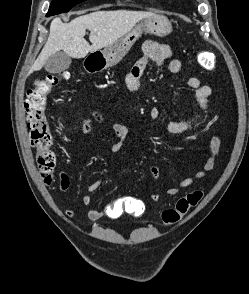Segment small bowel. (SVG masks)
Listing matches in <instances>:
<instances>
[{
  "mask_svg": "<svg viewBox=\"0 0 249 294\" xmlns=\"http://www.w3.org/2000/svg\"><path fill=\"white\" fill-rule=\"evenodd\" d=\"M143 56L134 64L130 72L127 75V83L130 89L138 90L140 88V78L147 67L154 63L158 66L162 65L167 59L173 57L174 53L170 46L166 44H159L154 41H146L142 45ZM169 70L173 74L183 73V64L178 59H172L169 63ZM188 86L194 90L195 99L197 103V112L190 118L184 120H167L165 122V128L172 134H184L191 130L199 121L202 114L208 109V98L212 93V89L208 85H204L196 77L187 78ZM149 117L152 120H158L161 118V110L157 106H153L149 109ZM95 121L98 123L103 122V118L100 114L94 113ZM112 133L116 138V142L111 145L109 151L117 153L121 150L124 140L129 136V129L122 124H114L111 127ZM81 131L84 135L93 136L96 133L94 123L90 119H84L81 124ZM220 150V139L212 137L209 142V153L203 167L193 173L192 175L181 180L176 186L171 187L167 190V194L170 196L176 195L181 189L187 188L192 185L196 180L203 178L207 173L213 170L215 162L217 160ZM150 174L152 178L157 181L160 176L159 168L157 165L150 167ZM103 185L102 180H96L92 182L87 190L88 194L82 197V202L85 205H89L92 202L91 193L98 191ZM70 187V179L67 175L62 174L60 180V191L66 192ZM160 198L158 192H154L151 195V200L157 202ZM112 203L106 204L103 208H91L87 211V217L90 221H98L103 217L116 219L111 214ZM65 215L68 218H73L75 215V209L68 208L65 210Z\"/></svg>",
  "mask_w": 249,
  "mask_h": 294,
  "instance_id": "obj_1",
  "label": "small bowel"
}]
</instances>
